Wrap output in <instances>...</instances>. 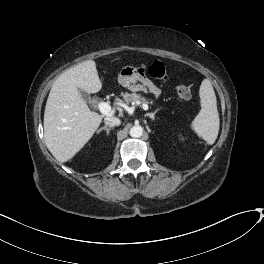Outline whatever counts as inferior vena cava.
I'll return each instance as SVG.
<instances>
[{
	"label": "inferior vena cava",
	"instance_id": "602c4592",
	"mask_svg": "<svg viewBox=\"0 0 264 264\" xmlns=\"http://www.w3.org/2000/svg\"><path fill=\"white\" fill-rule=\"evenodd\" d=\"M104 122H105L106 125H108L110 127L118 126V125L121 124L120 119L116 118V117L105 118Z\"/></svg>",
	"mask_w": 264,
	"mask_h": 264
}]
</instances>
